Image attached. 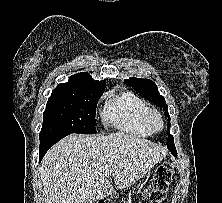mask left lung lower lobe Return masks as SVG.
I'll return each mask as SVG.
<instances>
[{
	"label": "left lung lower lobe",
	"instance_id": "left-lung-lower-lobe-1",
	"mask_svg": "<svg viewBox=\"0 0 222 203\" xmlns=\"http://www.w3.org/2000/svg\"><path fill=\"white\" fill-rule=\"evenodd\" d=\"M168 149L171 151L173 155L177 156L176 148H168Z\"/></svg>",
	"mask_w": 222,
	"mask_h": 203
}]
</instances>
